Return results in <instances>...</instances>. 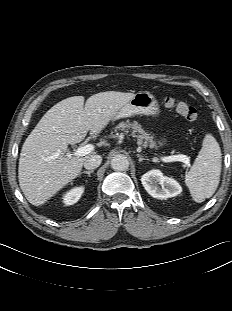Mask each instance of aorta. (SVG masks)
Segmentation results:
<instances>
[{
  "mask_svg": "<svg viewBox=\"0 0 232 311\" xmlns=\"http://www.w3.org/2000/svg\"><path fill=\"white\" fill-rule=\"evenodd\" d=\"M111 167L115 171H125L129 167V161L126 156L118 154L111 160Z\"/></svg>",
  "mask_w": 232,
  "mask_h": 311,
  "instance_id": "762f6f07",
  "label": "aorta"
}]
</instances>
